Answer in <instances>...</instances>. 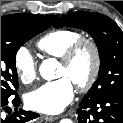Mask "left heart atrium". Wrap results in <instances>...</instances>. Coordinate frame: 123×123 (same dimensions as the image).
<instances>
[{
    "mask_svg": "<svg viewBox=\"0 0 123 123\" xmlns=\"http://www.w3.org/2000/svg\"><path fill=\"white\" fill-rule=\"evenodd\" d=\"M74 97V87L71 80L61 77L47 82L26 95L27 106L35 111L56 114L61 112Z\"/></svg>",
    "mask_w": 123,
    "mask_h": 123,
    "instance_id": "left-heart-atrium-1",
    "label": "left heart atrium"
}]
</instances>
